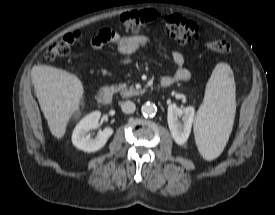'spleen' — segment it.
<instances>
[{"mask_svg": "<svg viewBox=\"0 0 275 215\" xmlns=\"http://www.w3.org/2000/svg\"><path fill=\"white\" fill-rule=\"evenodd\" d=\"M236 112L235 81L229 64L218 63L209 78L194 123L198 150L205 160L217 158L229 139Z\"/></svg>", "mask_w": 275, "mask_h": 215, "instance_id": "1", "label": "spleen"}]
</instances>
